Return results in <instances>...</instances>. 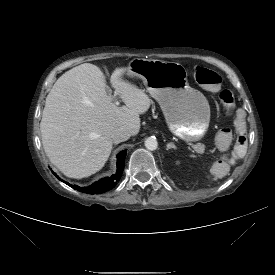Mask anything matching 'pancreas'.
<instances>
[{
    "mask_svg": "<svg viewBox=\"0 0 275 275\" xmlns=\"http://www.w3.org/2000/svg\"><path fill=\"white\" fill-rule=\"evenodd\" d=\"M195 146L200 148V147H203L204 145L199 143V144H197Z\"/></svg>",
    "mask_w": 275,
    "mask_h": 275,
    "instance_id": "pancreas-1",
    "label": "pancreas"
}]
</instances>
